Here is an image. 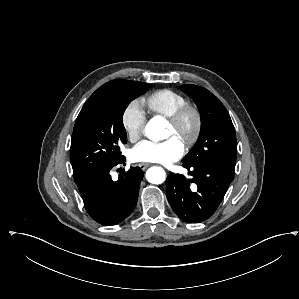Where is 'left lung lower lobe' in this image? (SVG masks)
Returning a JSON list of instances; mask_svg holds the SVG:
<instances>
[{
	"instance_id": "left-lung-lower-lobe-1",
	"label": "left lung lower lobe",
	"mask_w": 299,
	"mask_h": 299,
	"mask_svg": "<svg viewBox=\"0 0 299 299\" xmlns=\"http://www.w3.org/2000/svg\"><path fill=\"white\" fill-rule=\"evenodd\" d=\"M183 167L192 178L170 173L166 180L168 201L182 220L189 223L205 221L222 201L234 171L218 163L183 164ZM191 183L197 185L195 189L191 188Z\"/></svg>"
}]
</instances>
